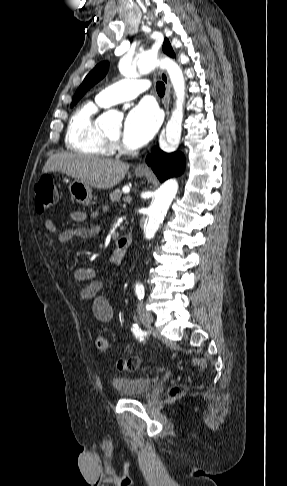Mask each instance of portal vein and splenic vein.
Masks as SVG:
<instances>
[{"label":"portal vein and splenic vein","mask_w":287,"mask_h":486,"mask_svg":"<svg viewBox=\"0 0 287 486\" xmlns=\"http://www.w3.org/2000/svg\"><path fill=\"white\" fill-rule=\"evenodd\" d=\"M123 200L125 203H130L132 201V198L130 196H127Z\"/></svg>","instance_id":"1"}]
</instances>
